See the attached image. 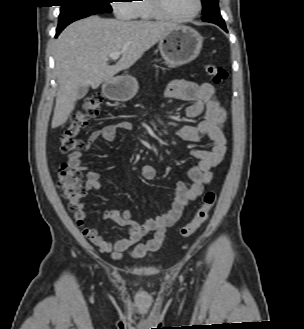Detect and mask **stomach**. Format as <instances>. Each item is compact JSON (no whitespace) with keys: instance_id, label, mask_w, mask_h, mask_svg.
<instances>
[{"instance_id":"obj_1","label":"stomach","mask_w":304,"mask_h":329,"mask_svg":"<svg viewBox=\"0 0 304 329\" xmlns=\"http://www.w3.org/2000/svg\"><path fill=\"white\" fill-rule=\"evenodd\" d=\"M203 37L193 28L175 26L159 41V51L169 67H176L194 60L202 49ZM138 91L137 81L131 76L111 79L102 86L103 94L110 100L128 101Z\"/></svg>"}]
</instances>
